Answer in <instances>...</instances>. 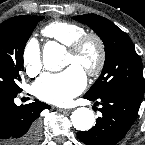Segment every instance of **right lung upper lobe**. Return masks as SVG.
<instances>
[{"label": "right lung upper lobe", "instance_id": "cb5924a9", "mask_svg": "<svg viewBox=\"0 0 145 145\" xmlns=\"http://www.w3.org/2000/svg\"><path fill=\"white\" fill-rule=\"evenodd\" d=\"M30 17L31 16H26V15L12 17V18L4 21L3 23H1L0 28H7V27L15 26V25L29 19Z\"/></svg>", "mask_w": 145, "mask_h": 145}]
</instances>
